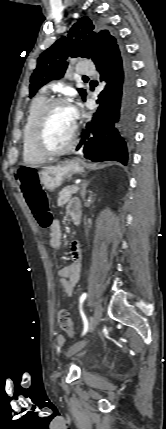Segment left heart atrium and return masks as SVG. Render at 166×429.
<instances>
[{
    "label": "left heart atrium",
    "mask_w": 166,
    "mask_h": 429,
    "mask_svg": "<svg viewBox=\"0 0 166 429\" xmlns=\"http://www.w3.org/2000/svg\"><path fill=\"white\" fill-rule=\"evenodd\" d=\"M74 119L77 117V108L76 106H70Z\"/></svg>",
    "instance_id": "obj_1"
}]
</instances>
